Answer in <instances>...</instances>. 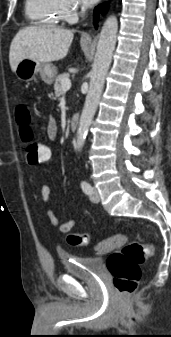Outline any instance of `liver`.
<instances>
[{
	"label": "liver",
	"mask_w": 171,
	"mask_h": 337,
	"mask_svg": "<svg viewBox=\"0 0 171 337\" xmlns=\"http://www.w3.org/2000/svg\"><path fill=\"white\" fill-rule=\"evenodd\" d=\"M71 30L56 27H26L21 29L10 45L9 63L15 73L18 63L25 59L52 62L63 59L73 40Z\"/></svg>",
	"instance_id": "liver-1"
}]
</instances>
